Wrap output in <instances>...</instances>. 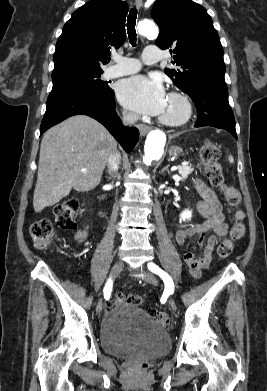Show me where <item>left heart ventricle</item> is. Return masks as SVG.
<instances>
[{
	"label": "left heart ventricle",
	"mask_w": 267,
	"mask_h": 391,
	"mask_svg": "<svg viewBox=\"0 0 267 391\" xmlns=\"http://www.w3.org/2000/svg\"><path fill=\"white\" fill-rule=\"evenodd\" d=\"M182 111L183 107L179 101L167 98L165 108L161 115L168 118H177L182 114Z\"/></svg>",
	"instance_id": "obj_1"
}]
</instances>
